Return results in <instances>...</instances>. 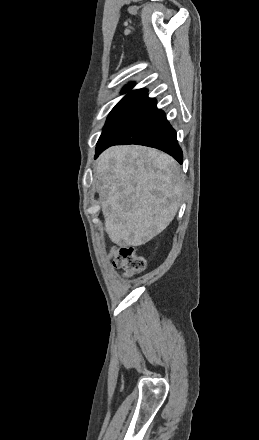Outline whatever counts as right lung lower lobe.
<instances>
[{
  "instance_id": "98d812e1",
  "label": "right lung lower lobe",
  "mask_w": 259,
  "mask_h": 440,
  "mask_svg": "<svg viewBox=\"0 0 259 440\" xmlns=\"http://www.w3.org/2000/svg\"><path fill=\"white\" fill-rule=\"evenodd\" d=\"M154 98H145L140 104L96 146L95 158L106 148L117 144H139L160 149L173 156L180 164L183 153L178 145L176 132L157 109Z\"/></svg>"
}]
</instances>
